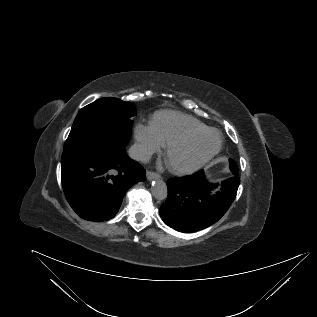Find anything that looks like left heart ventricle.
Here are the masks:
<instances>
[{
	"label": "left heart ventricle",
	"mask_w": 317,
	"mask_h": 317,
	"mask_svg": "<svg viewBox=\"0 0 317 317\" xmlns=\"http://www.w3.org/2000/svg\"><path fill=\"white\" fill-rule=\"evenodd\" d=\"M217 142L218 136L215 133L203 134L174 149L167 162L175 167L188 166L211 151Z\"/></svg>",
	"instance_id": "left-heart-ventricle-1"
}]
</instances>
